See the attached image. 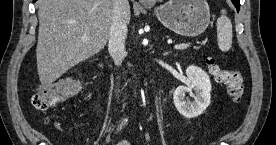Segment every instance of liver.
Wrapping results in <instances>:
<instances>
[{
	"label": "liver",
	"instance_id": "6515ba94",
	"mask_svg": "<svg viewBox=\"0 0 276 145\" xmlns=\"http://www.w3.org/2000/svg\"><path fill=\"white\" fill-rule=\"evenodd\" d=\"M37 6V70L42 86L48 87L105 47L114 0H39ZM125 21L130 22V7L125 10Z\"/></svg>",
	"mask_w": 276,
	"mask_h": 145
}]
</instances>
